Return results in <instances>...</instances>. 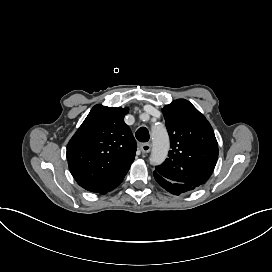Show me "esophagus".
I'll return each mask as SVG.
<instances>
[{"label":"esophagus","mask_w":272,"mask_h":272,"mask_svg":"<svg viewBox=\"0 0 272 272\" xmlns=\"http://www.w3.org/2000/svg\"><path fill=\"white\" fill-rule=\"evenodd\" d=\"M140 149L143 153H149L151 150V145L150 144H142L140 146Z\"/></svg>","instance_id":"obj_1"}]
</instances>
